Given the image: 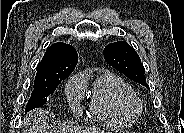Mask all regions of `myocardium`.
I'll use <instances>...</instances> for the list:
<instances>
[{
	"label": "myocardium",
	"instance_id": "myocardium-1",
	"mask_svg": "<svg viewBox=\"0 0 184 133\" xmlns=\"http://www.w3.org/2000/svg\"><path fill=\"white\" fill-rule=\"evenodd\" d=\"M127 105L136 115H139L143 109L142 102L136 96L128 100Z\"/></svg>",
	"mask_w": 184,
	"mask_h": 133
}]
</instances>
